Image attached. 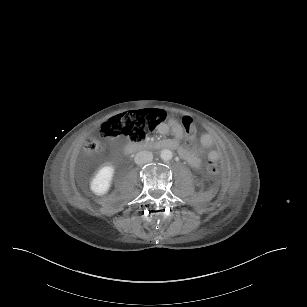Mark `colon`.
Listing matches in <instances>:
<instances>
[{
  "mask_svg": "<svg viewBox=\"0 0 307 307\" xmlns=\"http://www.w3.org/2000/svg\"><path fill=\"white\" fill-rule=\"evenodd\" d=\"M166 113L160 109L140 110L112 117L99 127V134L105 139L126 138L132 141H142L165 118ZM188 142L197 137V128L190 115L185 114L180 119ZM104 147L99 138H91L84 143V152L87 156L97 154ZM222 164L217 159L207 162V171L210 175H218Z\"/></svg>",
  "mask_w": 307,
  "mask_h": 307,
  "instance_id": "5ec220e1",
  "label": "colon"
}]
</instances>
